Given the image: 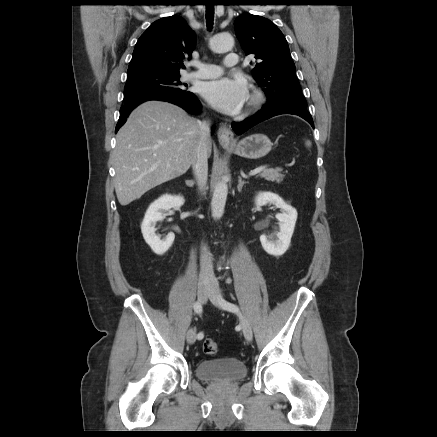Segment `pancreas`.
Instances as JSON below:
<instances>
[{
    "mask_svg": "<svg viewBox=\"0 0 437 437\" xmlns=\"http://www.w3.org/2000/svg\"><path fill=\"white\" fill-rule=\"evenodd\" d=\"M281 169L280 168H276V169H264L261 173H260V177L261 178H265L268 181H272V182H277L280 183L283 180L284 175L280 173Z\"/></svg>",
    "mask_w": 437,
    "mask_h": 437,
    "instance_id": "obj_1",
    "label": "pancreas"
}]
</instances>
